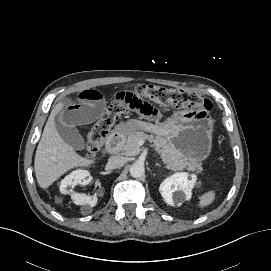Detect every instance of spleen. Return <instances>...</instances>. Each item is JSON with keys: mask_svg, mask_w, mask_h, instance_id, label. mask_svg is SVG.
<instances>
[{"mask_svg": "<svg viewBox=\"0 0 271 271\" xmlns=\"http://www.w3.org/2000/svg\"><path fill=\"white\" fill-rule=\"evenodd\" d=\"M215 196H216V194H215V191H213V190H210V191L204 193L202 196L199 197L198 206L200 208H204V207L211 205L215 199Z\"/></svg>", "mask_w": 271, "mask_h": 271, "instance_id": "spleen-1", "label": "spleen"}]
</instances>
